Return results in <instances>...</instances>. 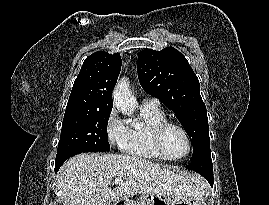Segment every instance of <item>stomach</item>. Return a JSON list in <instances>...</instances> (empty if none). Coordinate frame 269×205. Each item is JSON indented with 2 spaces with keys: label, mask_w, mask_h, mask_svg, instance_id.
<instances>
[{
  "label": "stomach",
  "mask_w": 269,
  "mask_h": 205,
  "mask_svg": "<svg viewBox=\"0 0 269 205\" xmlns=\"http://www.w3.org/2000/svg\"><path fill=\"white\" fill-rule=\"evenodd\" d=\"M116 205H206L203 195L163 197L157 195H143L138 202L121 200Z\"/></svg>",
  "instance_id": "obj_1"
}]
</instances>
